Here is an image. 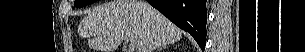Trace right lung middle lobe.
<instances>
[{
  "label": "right lung middle lobe",
  "mask_w": 305,
  "mask_h": 52,
  "mask_svg": "<svg viewBox=\"0 0 305 52\" xmlns=\"http://www.w3.org/2000/svg\"><path fill=\"white\" fill-rule=\"evenodd\" d=\"M96 1L97 0H76L74 2V6L77 7V8H80V7H84L88 4L94 3Z\"/></svg>",
  "instance_id": "1"
}]
</instances>
